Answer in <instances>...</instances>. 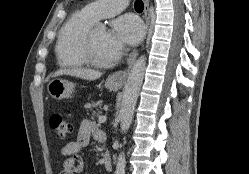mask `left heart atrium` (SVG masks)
Instances as JSON below:
<instances>
[{
	"instance_id": "obj_1",
	"label": "left heart atrium",
	"mask_w": 249,
	"mask_h": 174,
	"mask_svg": "<svg viewBox=\"0 0 249 174\" xmlns=\"http://www.w3.org/2000/svg\"><path fill=\"white\" fill-rule=\"evenodd\" d=\"M142 36V26L133 16H123L114 22L109 32V44L112 59H119L127 45L137 43Z\"/></svg>"
}]
</instances>
